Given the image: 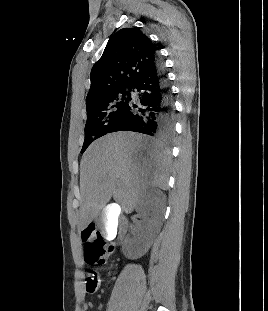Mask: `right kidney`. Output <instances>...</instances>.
I'll use <instances>...</instances> for the list:
<instances>
[{
	"label": "right kidney",
	"instance_id": "1",
	"mask_svg": "<svg viewBox=\"0 0 268 311\" xmlns=\"http://www.w3.org/2000/svg\"><path fill=\"white\" fill-rule=\"evenodd\" d=\"M166 196L156 188L146 191L136 205V211L145 219L135 239L127 237L123 252L130 259H137L147 253L161 229L165 215Z\"/></svg>",
	"mask_w": 268,
	"mask_h": 311
}]
</instances>
